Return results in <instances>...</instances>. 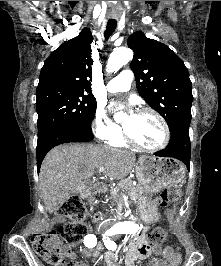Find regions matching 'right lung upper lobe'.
<instances>
[{"label":"right lung upper lobe","instance_id":"cb5924a9","mask_svg":"<svg viewBox=\"0 0 221 266\" xmlns=\"http://www.w3.org/2000/svg\"><path fill=\"white\" fill-rule=\"evenodd\" d=\"M92 41L91 31L84 28L53 51L41 69L37 90L64 88L91 94Z\"/></svg>","mask_w":221,"mask_h":266}]
</instances>
